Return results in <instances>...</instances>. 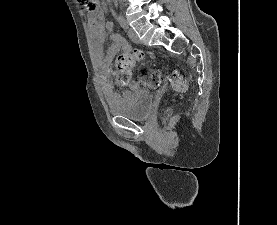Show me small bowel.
I'll return each mask as SVG.
<instances>
[{"instance_id": "small-bowel-1", "label": "small bowel", "mask_w": 277, "mask_h": 225, "mask_svg": "<svg viewBox=\"0 0 277 225\" xmlns=\"http://www.w3.org/2000/svg\"><path fill=\"white\" fill-rule=\"evenodd\" d=\"M89 25H90L89 30L92 36L93 47H94L96 58L100 63V65L102 66L104 70V74L106 75L108 73L107 67L111 62V60L113 59L114 55L120 49H127L128 46L126 45L124 39L120 35L113 33V24L111 22H108L106 24V30L111 33V45L108 47V49L104 54L101 43L103 41L105 32L101 25V18L97 17L95 11L93 10L90 11ZM132 87L137 88L138 85L134 84ZM102 89H103L105 98L108 101H113L114 94H113L111 84L106 80H104L102 83Z\"/></svg>"}]
</instances>
